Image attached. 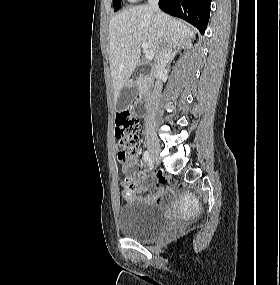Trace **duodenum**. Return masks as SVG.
Instances as JSON below:
<instances>
[{
  "instance_id": "410a0bca",
  "label": "duodenum",
  "mask_w": 280,
  "mask_h": 285,
  "mask_svg": "<svg viewBox=\"0 0 280 285\" xmlns=\"http://www.w3.org/2000/svg\"><path fill=\"white\" fill-rule=\"evenodd\" d=\"M150 96H151L150 91L148 89L144 88L142 90V97H143L145 103H148V101L150 100ZM146 115H147V111L144 112L143 116L145 117Z\"/></svg>"
}]
</instances>
